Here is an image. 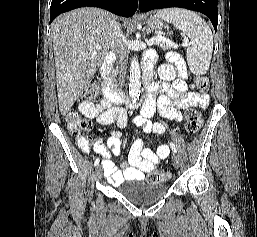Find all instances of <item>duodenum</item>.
Returning a JSON list of instances; mask_svg holds the SVG:
<instances>
[{"mask_svg": "<svg viewBox=\"0 0 257 237\" xmlns=\"http://www.w3.org/2000/svg\"><path fill=\"white\" fill-rule=\"evenodd\" d=\"M116 61V55L114 53H108L101 65V77L103 85L104 97L114 103H119L123 100V94L118 88L111 74V66ZM143 77L146 85H149L151 80V74L147 66L143 67Z\"/></svg>", "mask_w": 257, "mask_h": 237, "instance_id": "410a0bca", "label": "duodenum"}]
</instances>
